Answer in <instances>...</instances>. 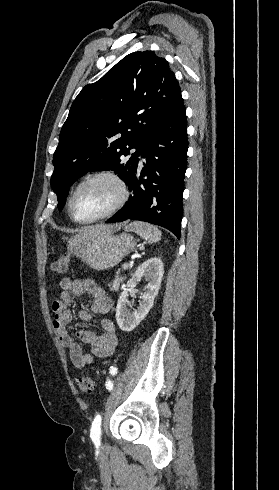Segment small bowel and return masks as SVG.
Here are the masks:
<instances>
[{
  "label": "small bowel",
  "mask_w": 279,
  "mask_h": 490,
  "mask_svg": "<svg viewBox=\"0 0 279 490\" xmlns=\"http://www.w3.org/2000/svg\"><path fill=\"white\" fill-rule=\"evenodd\" d=\"M59 287L61 289L59 299L53 301L51 305L52 329L62 346L67 349L73 365L80 369L92 362V355L100 358L112 355L117 348L118 338L111 319L102 318L100 330L80 329L76 332L77 338L91 347V353L85 352L67 329L72 318L69 306L73 295L87 294L91 297L90 310H81L78 313V318L82 322L91 321L93 314L98 316L107 314L112 307V300L91 279L63 278L59 282Z\"/></svg>",
  "instance_id": "small-bowel-1"
}]
</instances>
